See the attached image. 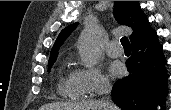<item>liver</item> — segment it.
<instances>
[{"label":"liver","instance_id":"6515ba94","mask_svg":"<svg viewBox=\"0 0 171 110\" xmlns=\"http://www.w3.org/2000/svg\"><path fill=\"white\" fill-rule=\"evenodd\" d=\"M110 104L109 110H118L114 104ZM39 110H104L101 101L85 102L83 104L55 102L43 105Z\"/></svg>","mask_w":171,"mask_h":110}]
</instances>
